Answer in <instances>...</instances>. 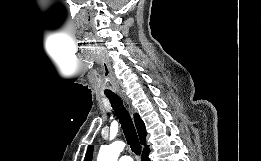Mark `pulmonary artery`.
Returning <instances> with one entry per match:
<instances>
[{"label":"pulmonary artery","instance_id":"1","mask_svg":"<svg viewBox=\"0 0 261 161\" xmlns=\"http://www.w3.org/2000/svg\"><path fill=\"white\" fill-rule=\"evenodd\" d=\"M119 161H133L131 157L129 156H121Z\"/></svg>","mask_w":261,"mask_h":161}]
</instances>
